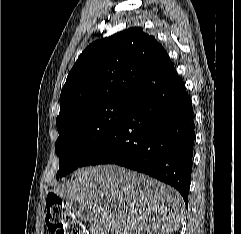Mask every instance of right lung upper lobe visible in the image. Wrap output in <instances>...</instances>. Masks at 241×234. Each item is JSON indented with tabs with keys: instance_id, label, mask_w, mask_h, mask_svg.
<instances>
[{
	"instance_id": "cb5924a9",
	"label": "right lung upper lobe",
	"mask_w": 241,
	"mask_h": 234,
	"mask_svg": "<svg viewBox=\"0 0 241 234\" xmlns=\"http://www.w3.org/2000/svg\"><path fill=\"white\" fill-rule=\"evenodd\" d=\"M173 68L163 46L141 27L97 40L82 52L68 74L56 125L91 106L131 104Z\"/></svg>"
}]
</instances>
